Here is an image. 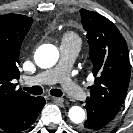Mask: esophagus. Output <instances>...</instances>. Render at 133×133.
<instances>
[{
    "instance_id": "1",
    "label": "esophagus",
    "mask_w": 133,
    "mask_h": 133,
    "mask_svg": "<svg viewBox=\"0 0 133 133\" xmlns=\"http://www.w3.org/2000/svg\"><path fill=\"white\" fill-rule=\"evenodd\" d=\"M52 100L57 102V103H63L64 102V99L61 97H53Z\"/></svg>"
}]
</instances>
